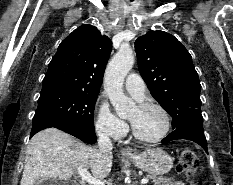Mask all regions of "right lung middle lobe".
Here are the masks:
<instances>
[{
  "label": "right lung middle lobe",
  "instance_id": "1",
  "mask_svg": "<svg viewBox=\"0 0 233 185\" xmlns=\"http://www.w3.org/2000/svg\"><path fill=\"white\" fill-rule=\"evenodd\" d=\"M98 94L63 89L41 91L31 135L42 125L94 131L93 114Z\"/></svg>",
  "mask_w": 233,
  "mask_h": 185
}]
</instances>
